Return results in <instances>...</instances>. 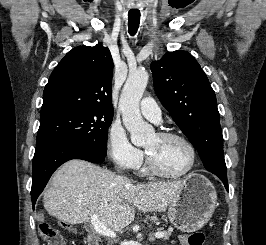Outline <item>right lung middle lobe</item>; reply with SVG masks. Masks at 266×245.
<instances>
[{
    "mask_svg": "<svg viewBox=\"0 0 266 245\" xmlns=\"http://www.w3.org/2000/svg\"><path fill=\"white\" fill-rule=\"evenodd\" d=\"M113 111L96 107L59 112L40 120L36 147L55 140H69L106 155L108 128Z\"/></svg>",
    "mask_w": 266,
    "mask_h": 245,
    "instance_id": "1",
    "label": "right lung middle lobe"
}]
</instances>
